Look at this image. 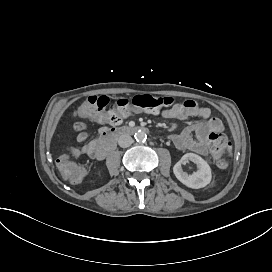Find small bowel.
<instances>
[{
    "mask_svg": "<svg viewBox=\"0 0 272 272\" xmlns=\"http://www.w3.org/2000/svg\"><path fill=\"white\" fill-rule=\"evenodd\" d=\"M163 117L167 119L185 120L187 118H198L203 121L192 123L182 132L171 137L174 146L180 151H192L205 156L210 153L209 134L219 132L222 135L223 123L216 117H211V110L208 107L200 106L196 101L188 99L176 103L162 111ZM98 122H101L98 120ZM195 135V138L193 137ZM81 154L92 159H98L95 155L97 141H88V135L84 138H77Z\"/></svg>",
    "mask_w": 272,
    "mask_h": 272,
    "instance_id": "small-bowel-1",
    "label": "small bowel"
}]
</instances>
